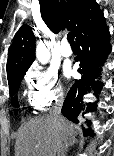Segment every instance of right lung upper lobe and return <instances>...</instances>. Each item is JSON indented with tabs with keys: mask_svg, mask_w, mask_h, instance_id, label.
I'll list each match as a JSON object with an SVG mask.
<instances>
[{
	"mask_svg": "<svg viewBox=\"0 0 114 156\" xmlns=\"http://www.w3.org/2000/svg\"><path fill=\"white\" fill-rule=\"evenodd\" d=\"M41 17L48 28L58 33L65 27L75 36L99 10L95 0H39ZM35 59V36L23 25L13 38L7 61L8 81L26 73Z\"/></svg>",
	"mask_w": 114,
	"mask_h": 156,
	"instance_id": "cb5924a9",
	"label": "right lung upper lobe"
}]
</instances>
